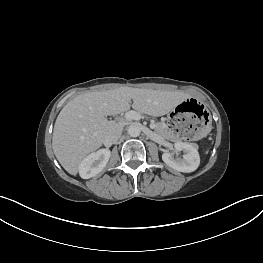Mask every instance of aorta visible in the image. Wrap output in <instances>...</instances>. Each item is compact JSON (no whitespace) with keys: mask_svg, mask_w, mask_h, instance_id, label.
<instances>
[{"mask_svg":"<svg viewBox=\"0 0 263 263\" xmlns=\"http://www.w3.org/2000/svg\"><path fill=\"white\" fill-rule=\"evenodd\" d=\"M127 132L131 137H138L141 133V128L138 124H132L128 127Z\"/></svg>","mask_w":263,"mask_h":263,"instance_id":"1","label":"aorta"}]
</instances>
